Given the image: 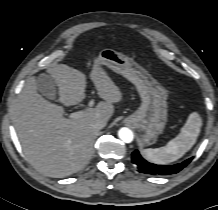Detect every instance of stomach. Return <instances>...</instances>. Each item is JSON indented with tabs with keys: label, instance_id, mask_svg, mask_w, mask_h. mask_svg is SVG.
Masks as SVG:
<instances>
[{
	"label": "stomach",
	"instance_id": "0dacf381",
	"mask_svg": "<svg viewBox=\"0 0 218 210\" xmlns=\"http://www.w3.org/2000/svg\"><path fill=\"white\" fill-rule=\"evenodd\" d=\"M98 60L101 65L123 75L136 86L142 103L124 122L137 129L141 145L154 144L167 122L166 89L133 59L113 49H103Z\"/></svg>",
	"mask_w": 218,
	"mask_h": 210
}]
</instances>
